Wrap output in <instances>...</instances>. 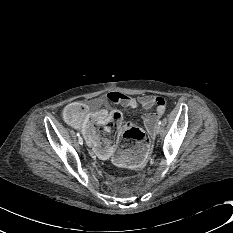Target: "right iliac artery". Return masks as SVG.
I'll use <instances>...</instances> for the list:
<instances>
[{
	"label": "right iliac artery",
	"instance_id": "right-iliac-artery-1",
	"mask_svg": "<svg viewBox=\"0 0 233 233\" xmlns=\"http://www.w3.org/2000/svg\"><path fill=\"white\" fill-rule=\"evenodd\" d=\"M77 136H78V137H80V134H79V133H77Z\"/></svg>",
	"mask_w": 233,
	"mask_h": 233
}]
</instances>
